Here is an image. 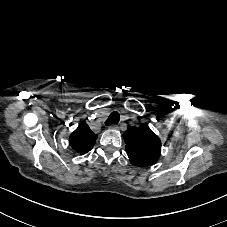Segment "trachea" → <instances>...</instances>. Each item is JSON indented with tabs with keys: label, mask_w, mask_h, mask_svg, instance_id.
<instances>
[{
	"label": "trachea",
	"mask_w": 227,
	"mask_h": 227,
	"mask_svg": "<svg viewBox=\"0 0 227 227\" xmlns=\"http://www.w3.org/2000/svg\"><path fill=\"white\" fill-rule=\"evenodd\" d=\"M120 120V114L119 112L117 111H113L109 117L107 118V120L105 121V125L106 126H110V125H113V124H118Z\"/></svg>",
	"instance_id": "1"
}]
</instances>
